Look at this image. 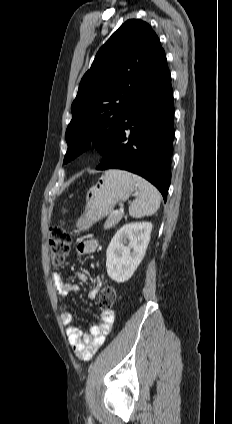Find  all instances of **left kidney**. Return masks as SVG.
Listing matches in <instances>:
<instances>
[{"mask_svg": "<svg viewBox=\"0 0 232 424\" xmlns=\"http://www.w3.org/2000/svg\"><path fill=\"white\" fill-rule=\"evenodd\" d=\"M151 231L152 223L134 222L115 233L106 251L107 273L112 280L123 283L131 278L145 255Z\"/></svg>", "mask_w": 232, "mask_h": 424, "instance_id": "left-kidney-1", "label": "left kidney"}]
</instances>
